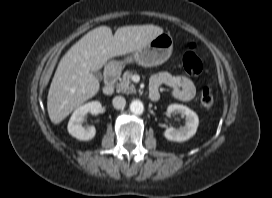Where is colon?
<instances>
[{"instance_id":"5ec220e1","label":"colon","mask_w":272,"mask_h":198,"mask_svg":"<svg viewBox=\"0 0 272 198\" xmlns=\"http://www.w3.org/2000/svg\"><path fill=\"white\" fill-rule=\"evenodd\" d=\"M182 65L185 71L190 75H199L203 69V65L199 57L193 50V46H190L182 58ZM215 103V96L212 88L205 87L201 94V104L204 108L210 109Z\"/></svg>"}]
</instances>
